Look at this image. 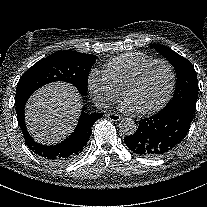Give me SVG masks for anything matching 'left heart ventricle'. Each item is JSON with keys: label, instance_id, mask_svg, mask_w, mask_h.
<instances>
[{"label": "left heart ventricle", "instance_id": "left-heart-ventricle-1", "mask_svg": "<svg viewBox=\"0 0 207 207\" xmlns=\"http://www.w3.org/2000/svg\"><path fill=\"white\" fill-rule=\"evenodd\" d=\"M170 82L171 75L168 68L156 64L129 90L126 101L134 111L154 110L163 102Z\"/></svg>", "mask_w": 207, "mask_h": 207}]
</instances>
